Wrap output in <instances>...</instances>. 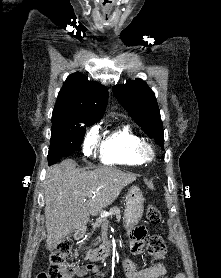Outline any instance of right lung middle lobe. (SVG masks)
Wrapping results in <instances>:
<instances>
[{
  "instance_id": "right-lung-middle-lobe-1",
  "label": "right lung middle lobe",
  "mask_w": 221,
  "mask_h": 278,
  "mask_svg": "<svg viewBox=\"0 0 221 278\" xmlns=\"http://www.w3.org/2000/svg\"><path fill=\"white\" fill-rule=\"evenodd\" d=\"M86 120H71L61 117H52L51 145L48 153L49 164L76 151L83 140L85 126H90Z\"/></svg>"
}]
</instances>
